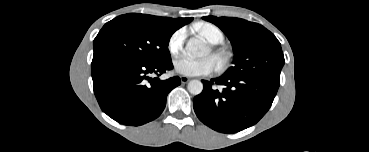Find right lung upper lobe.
<instances>
[{
	"label": "right lung upper lobe",
	"mask_w": 369,
	"mask_h": 152,
	"mask_svg": "<svg viewBox=\"0 0 369 152\" xmlns=\"http://www.w3.org/2000/svg\"><path fill=\"white\" fill-rule=\"evenodd\" d=\"M132 16L145 20L150 23H157L161 25H166L169 27H172L174 29H179L182 26L190 23L193 18H169V17H158V16H152V15H146V14H140V13H131Z\"/></svg>",
	"instance_id": "1"
}]
</instances>
